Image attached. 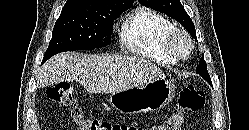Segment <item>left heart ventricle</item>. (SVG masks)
Segmentation results:
<instances>
[{"label":"left heart ventricle","instance_id":"b2bd125f","mask_svg":"<svg viewBox=\"0 0 249 130\" xmlns=\"http://www.w3.org/2000/svg\"><path fill=\"white\" fill-rule=\"evenodd\" d=\"M175 47H176V51L182 56L187 55V53L189 51V46H188L187 42L182 38L178 39Z\"/></svg>","mask_w":249,"mask_h":130}]
</instances>
